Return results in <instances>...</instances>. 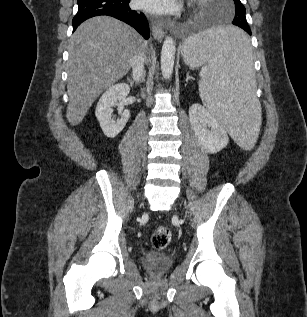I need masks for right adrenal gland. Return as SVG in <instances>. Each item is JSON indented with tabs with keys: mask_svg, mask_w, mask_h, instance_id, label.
Instances as JSON below:
<instances>
[{
	"mask_svg": "<svg viewBox=\"0 0 307 317\" xmlns=\"http://www.w3.org/2000/svg\"><path fill=\"white\" fill-rule=\"evenodd\" d=\"M128 81L131 85H133V81L130 78H128ZM142 81H143V77H142Z\"/></svg>",
	"mask_w": 307,
	"mask_h": 317,
	"instance_id": "1",
	"label": "right adrenal gland"
}]
</instances>
